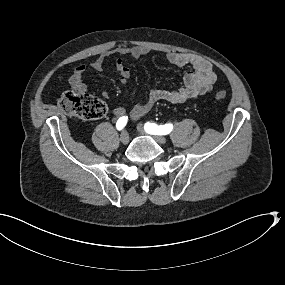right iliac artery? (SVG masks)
<instances>
[{
	"label": "right iliac artery",
	"instance_id": "obj_1",
	"mask_svg": "<svg viewBox=\"0 0 285 285\" xmlns=\"http://www.w3.org/2000/svg\"><path fill=\"white\" fill-rule=\"evenodd\" d=\"M127 121H128L127 116L120 117L116 123L117 130H122L125 127Z\"/></svg>",
	"mask_w": 285,
	"mask_h": 285
}]
</instances>
